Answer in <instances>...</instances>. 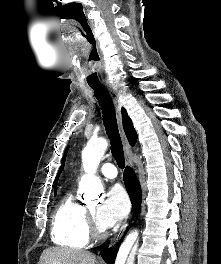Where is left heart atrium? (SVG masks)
I'll return each mask as SVG.
<instances>
[{
	"instance_id": "39dd6f15",
	"label": "left heart atrium",
	"mask_w": 221,
	"mask_h": 264,
	"mask_svg": "<svg viewBox=\"0 0 221 264\" xmlns=\"http://www.w3.org/2000/svg\"><path fill=\"white\" fill-rule=\"evenodd\" d=\"M129 208V200L124 190L114 186L96 212L97 222L102 228L111 227L127 216Z\"/></svg>"
}]
</instances>
